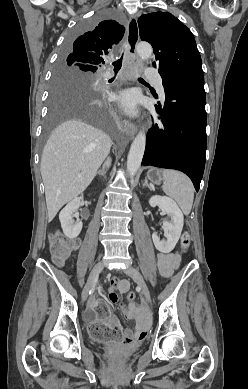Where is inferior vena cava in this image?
<instances>
[{"label": "inferior vena cava", "instance_id": "1", "mask_svg": "<svg viewBox=\"0 0 248 389\" xmlns=\"http://www.w3.org/2000/svg\"><path fill=\"white\" fill-rule=\"evenodd\" d=\"M110 162L111 160L108 158L105 162V164L103 165V169H105V167H109L110 166Z\"/></svg>", "mask_w": 248, "mask_h": 389}]
</instances>
